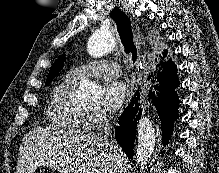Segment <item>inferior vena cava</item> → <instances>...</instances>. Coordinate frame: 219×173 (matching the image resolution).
Segmentation results:
<instances>
[{"mask_svg": "<svg viewBox=\"0 0 219 173\" xmlns=\"http://www.w3.org/2000/svg\"><path fill=\"white\" fill-rule=\"evenodd\" d=\"M110 121V117L109 118H106L104 120V123H103V126H102V131L101 133L99 134V136L104 139L106 141V143L108 144L109 146V149H110V155H111V159L112 161H115L117 159V156H118V146L116 143H114L113 141H110L108 139L109 135L112 134V126L111 124L109 123ZM111 172H114V171H111Z\"/></svg>", "mask_w": 219, "mask_h": 173, "instance_id": "obj_1", "label": "inferior vena cava"}]
</instances>
